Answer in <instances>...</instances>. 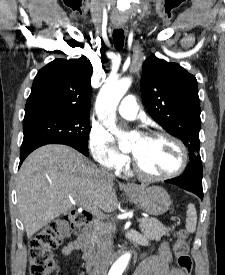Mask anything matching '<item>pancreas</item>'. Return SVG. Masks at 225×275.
<instances>
[{"instance_id":"1","label":"pancreas","mask_w":225,"mask_h":275,"mask_svg":"<svg viewBox=\"0 0 225 275\" xmlns=\"http://www.w3.org/2000/svg\"><path fill=\"white\" fill-rule=\"evenodd\" d=\"M100 226H103L102 224H97L95 227V231H98L100 229ZM140 229L142 234L148 239V240H155L160 241L163 236H169V231H171V228L165 227L161 222L154 218H146L144 222H141ZM97 235H95V238Z\"/></svg>"}]
</instances>
